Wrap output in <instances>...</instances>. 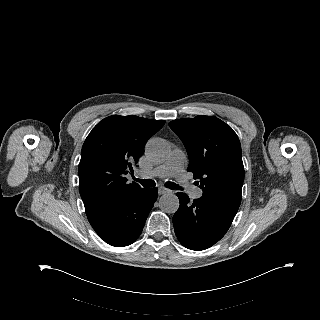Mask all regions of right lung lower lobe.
Segmentation results:
<instances>
[{"mask_svg":"<svg viewBox=\"0 0 320 320\" xmlns=\"http://www.w3.org/2000/svg\"><path fill=\"white\" fill-rule=\"evenodd\" d=\"M156 199L157 188H142L128 199L87 218L106 243L115 247L128 246L140 236Z\"/></svg>","mask_w":320,"mask_h":320,"instance_id":"98d812e1","label":"right lung lower lobe"}]
</instances>
